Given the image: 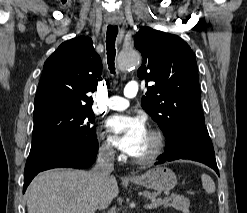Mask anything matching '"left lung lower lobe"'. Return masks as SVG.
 Wrapping results in <instances>:
<instances>
[{"mask_svg":"<svg viewBox=\"0 0 247 213\" xmlns=\"http://www.w3.org/2000/svg\"><path fill=\"white\" fill-rule=\"evenodd\" d=\"M177 159L204 163L219 175L213 145L205 125H190L181 128L177 139L167 143L165 154L159 157L158 163Z\"/></svg>","mask_w":247,"mask_h":213,"instance_id":"left-lung-lower-lobe-1","label":"left lung lower lobe"}]
</instances>
